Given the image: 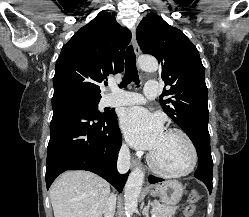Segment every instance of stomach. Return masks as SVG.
<instances>
[{
    "label": "stomach",
    "mask_w": 249,
    "mask_h": 217,
    "mask_svg": "<svg viewBox=\"0 0 249 217\" xmlns=\"http://www.w3.org/2000/svg\"><path fill=\"white\" fill-rule=\"evenodd\" d=\"M151 196L158 197L166 206L176 205L182 198L184 187L177 180H166L148 187Z\"/></svg>",
    "instance_id": "0dacf381"
}]
</instances>
